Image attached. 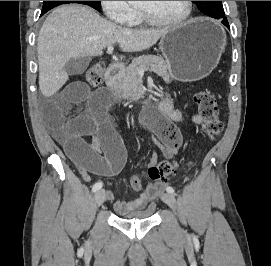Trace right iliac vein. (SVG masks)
<instances>
[{
	"label": "right iliac vein",
	"instance_id": "right-iliac-vein-1",
	"mask_svg": "<svg viewBox=\"0 0 271 266\" xmlns=\"http://www.w3.org/2000/svg\"><path fill=\"white\" fill-rule=\"evenodd\" d=\"M94 199H95V207H99L105 201V191L102 189L98 190L95 193Z\"/></svg>",
	"mask_w": 271,
	"mask_h": 266
}]
</instances>
